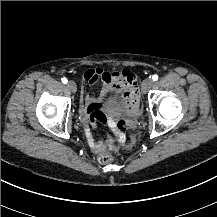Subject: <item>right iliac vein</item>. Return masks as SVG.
<instances>
[{"label": "right iliac vein", "instance_id": "63e3f726", "mask_svg": "<svg viewBox=\"0 0 217 217\" xmlns=\"http://www.w3.org/2000/svg\"><path fill=\"white\" fill-rule=\"evenodd\" d=\"M67 87L68 89H70L73 93H75L77 91V86L73 81H69L67 83Z\"/></svg>", "mask_w": 217, "mask_h": 217}]
</instances>
